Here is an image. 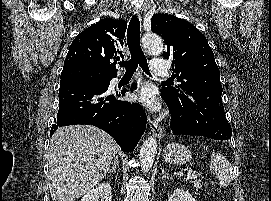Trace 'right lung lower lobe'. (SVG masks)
<instances>
[{
    "label": "right lung lower lobe",
    "mask_w": 271,
    "mask_h": 201,
    "mask_svg": "<svg viewBox=\"0 0 271 201\" xmlns=\"http://www.w3.org/2000/svg\"><path fill=\"white\" fill-rule=\"evenodd\" d=\"M114 77L116 74L100 73L82 64L64 66L59 110L50 135L59 126L94 125L111 135L124 152L133 151L146 129V114L139 104L116 99L126 89L110 92L108 87Z\"/></svg>",
    "instance_id": "right-lung-lower-lobe-1"
}]
</instances>
